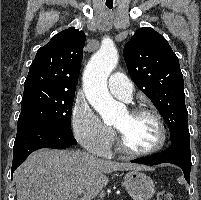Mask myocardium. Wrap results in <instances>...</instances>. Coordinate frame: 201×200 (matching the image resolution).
Returning <instances> with one entry per match:
<instances>
[{
	"instance_id": "obj_1",
	"label": "myocardium",
	"mask_w": 201,
	"mask_h": 200,
	"mask_svg": "<svg viewBox=\"0 0 201 200\" xmlns=\"http://www.w3.org/2000/svg\"><path fill=\"white\" fill-rule=\"evenodd\" d=\"M128 113L131 117H137L140 115H147V116L152 117L156 121V123L160 129L161 137H160V140L156 146H154L150 149H147V150L138 151V150L131 148L128 145L123 133L119 129L116 128L117 135H118L119 148L123 152H125L129 155L140 156V157L141 156L153 155V154H156L159 151H161L165 147L167 140H168L167 127H166L163 119L161 118V116L156 111H154L150 108L144 107V106L133 107L128 111Z\"/></svg>"
}]
</instances>
